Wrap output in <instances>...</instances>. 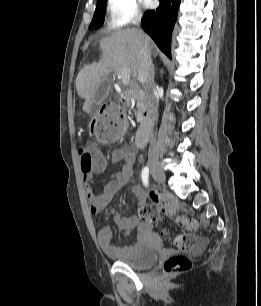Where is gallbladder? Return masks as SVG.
Masks as SVG:
<instances>
[{
  "label": "gallbladder",
  "mask_w": 261,
  "mask_h": 306,
  "mask_svg": "<svg viewBox=\"0 0 261 306\" xmlns=\"http://www.w3.org/2000/svg\"><path fill=\"white\" fill-rule=\"evenodd\" d=\"M108 89L109 85L107 81H103L97 86L93 95V102L95 105H99L105 100L108 95Z\"/></svg>",
  "instance_id": "1"
}]
</instances>
